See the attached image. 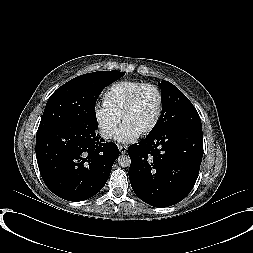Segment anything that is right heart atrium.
Segmentation results:
<instances>
[{"mask_svg":"<svg viewBox=\"0 0 253 253\" xmlns=\"http://www.w3.org/2000/svg\"><path fill=\"white\" fill-rule=\"evenodd\" d=\"M94 118L100 135L105 139H109L114 135L120 122V116L105 107L103 103L96 104Z\"/></svg>","mask_w":253,"mask_h":253,"instance_id":"d8ad5b80","label":"right heart atrium"}]
</instances>
